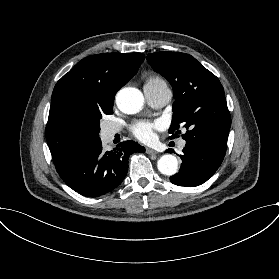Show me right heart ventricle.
<instances>
[{
  "label": "right heart ventricle",
  "mask_w": 279,
  "mask_h": 279,
  "mask_svg": "<svg viewBox=\"0 0 279 279\" xmlns=\"http://www.w3.org/2000/svg\"><path fill=\"white\" fill-rule=\"evenodd\" d=\"M160 80H163L161 77L157 76V75H151L146 83H155L158 82Z\"/></svg>",
  "instance_id": "right-heart-ventricle-1"
}]
</instances>
